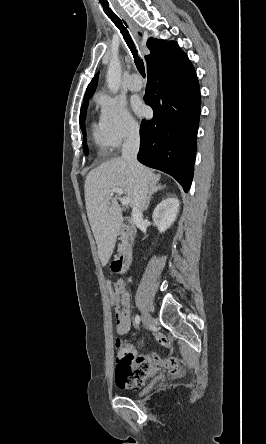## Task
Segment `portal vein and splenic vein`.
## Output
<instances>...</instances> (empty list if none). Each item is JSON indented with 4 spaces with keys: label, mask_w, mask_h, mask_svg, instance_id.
Segmentation results:
<instances>
[{
    "label": "portal vein and splenic vein",
    "mask_w": 266,
    "mask_h": 444,
    "mask_svg": "<svg viewBox=\"0 0 266 444\" xmlns=\"http://www.w3.org/2000/svg\"><path fill=\"white\" fill-rule=\"evenodd\" d=\"M110 193H111V195L116 193V194L121 196V195H123V190L121 188H113V189L110 190ZM120 201H121V204L124 205V206L129 204V198L126 197V196H123L120 199Z\"/></svg>",
    "instance_id": "1"
}]
</instances>
